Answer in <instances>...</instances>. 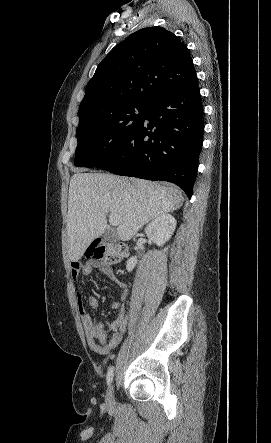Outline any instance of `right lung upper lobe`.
<instances>
[{
    "instance_id": "right-lung-upper-lobe-1",
    "label": "right lung upper lobe",
    "mask_w": 271,
    "mask_h": 443,
    "mask_svg": "<svg viewBox=\"0 0 271 443\" xmlns=\"http://www.w3.org/2000/svg\"><path fill=\"white\" fill-rule=\"evenodd\" d=\"M197 80L187 47L162 27L141 29L116 45L88 82L80 120L127 102L150 103L156 96Z\"/></svg>"
}]
</instances>
